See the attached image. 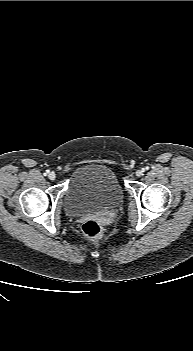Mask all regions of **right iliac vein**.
I'll list each match as a JSON object with an SVG mask.
<instances>
[{
    "mask_svg": "<svg viewBox=\"0 0 193 351\" xmlns=\"http://www.w3.org/2000/svg\"><path fill=\"white\" fill-rule=\"evenodd\" d=\"M48 178H49L50 180H55V179H56V174H55L54 172H50V173L48 174Z\"/></svg>",
    "mask_w": 193,
    "mask_h": 351,
    "instance_id": "right-iliac-vein-1",
    "label": "right iliac vein"
}]
</instances>
